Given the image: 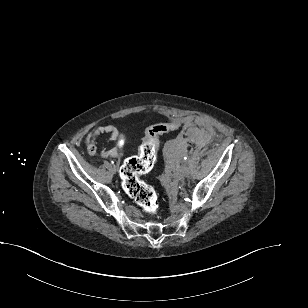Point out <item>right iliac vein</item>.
Returning <instances> with one entry per match:
<instances>
[{
  "label": "right iliac vein",
  "instance_id": "obj_1",
  "mask_svg": "<svg viewBox=\"0 0 308 308\" xmlns=\"http://www.w3.org/2000/svg\"><path fill=\"white\" fill-rule=\"evenodd\" d=\"M112 169H113L114 172H116L117 171V166L114 165Z\"/></svg>",
  "mask_w": 308,
  "mask_h": 308
}]
</instances>
